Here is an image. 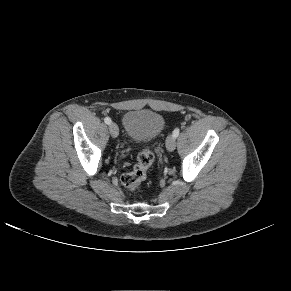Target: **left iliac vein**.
Here are the masks:
<instances>
[{"label":"left iliac vein","instance_id":"4c4485c4","mask_svg":"<svg viewBox=\"0 0 291 291\" xmlns=\"http://www.w3.org/2000/svg\"><path fill=\"white\" fill-rule=\"evenodd\" d=\"M176 147V139L173 135H170L166 139V148L168 151L172 152Z\"/></svg>","mask_w":291,"mask_h":291}]
</instances>
